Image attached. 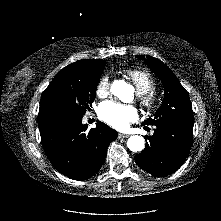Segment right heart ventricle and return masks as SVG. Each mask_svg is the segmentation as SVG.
Listing matches in <instances>:
<instances>
[{"label": "right heart ventricle", "instance_id": "right-heart-ventricle-1", "mask_svg": "<svg viewBox=\"0 0 221 221\" xmlns=\"http://www.w3.org/2000/svg\"><path fill=\"white\" fill-rule=\"evenodd\" d=\"M126 74L135 85L138 93L146 92L155 86V79L147 70L128 69Z\"/></svg>", "mask_w": 221, "mask_h": 221}]
</instances>
